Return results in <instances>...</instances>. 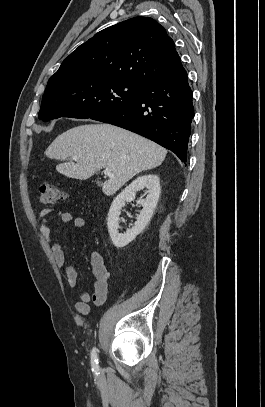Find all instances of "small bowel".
Here are the masks:
<instances>
[{
  "label": "small bowel",
  "instance_id": "small-bowel-1",
  "mask_svg": "<svg viewBox=\"0 0 265 407\" xmlns=\"http://www.w3.org/2000/svg\"><path fill=\"white\" fill-rule=\"evenodd\" d=\"M52 214H57L62 223H72L74 228L82 229L85 226V220L82 217H73L70 212L56 211L52 208H43L39 211L36 221L39 225L40 233L49 246L53 259L59 268H64L65 279L70 287H74L77 283V271L71 265H65V255L59 242L52 236L49 227V217ZM92 272L95 277L93 292L88 289H83L78 294V301L75 303V309L82 315H88L90 312V303L95 306H102L108 295V270L104 264L103 258L94 253L90 260Z\"/></svg>",
  "mask_w": 265,
  "mask_h": 407
}]
</instances>
